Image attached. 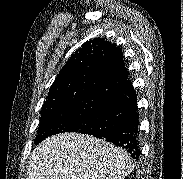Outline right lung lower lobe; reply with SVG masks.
<instances>
[{
    "mask_svg": "<svg viewBox=\"0 0 183 179\" xmlns=\"http://www.w3.org/2000/svg\"><path fill=\"white\" fill-rule=\"evenodd\" d=\"M138 125L137 95L127 79L106 92L96 116L77 132L107 140L138 159L141 152Z\"/></svg>",
    "mask_w": 183,
    "mask_h": 179,
    "instance_id": "98d812e1",
    "label": "right lung lower lobe"
}]
</instances>
